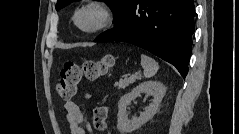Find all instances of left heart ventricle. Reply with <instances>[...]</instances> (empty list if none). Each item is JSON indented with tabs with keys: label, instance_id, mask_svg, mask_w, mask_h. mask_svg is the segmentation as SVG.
Here are the masks:
<instances>
[{
	"label": "left heart ventricle",
	"instance_id": "b2bd125f",
	"mask_svg": "<svg viewBox=\"0 0 239 134\" xmlns=\"http://www.w3.org/2000/svg\"><path fill=\"white\" fill-rule=\"evenodd\" d=\"M98 21V13L96 11L90 10L81 14L80 23L84 27H91L95 25Z\"/></svg>",
	"mask_w": 239,
	"mask_h": 134
}]
</instances>
